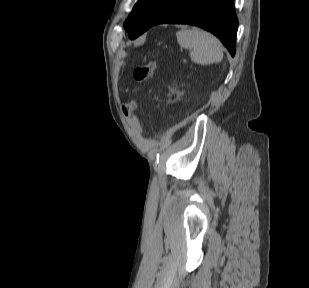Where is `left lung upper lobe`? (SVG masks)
<instances>
[{"label": "left lung upper lobe", "instance_id": "1", "mask_svg": "<svg viewBox=\"0 0 309 288\" xmlns=\"http://www.w3.org/2000/svg\"><path fill=\"white\" fill-rule=\"evenodd\" d=\"M161 0H138L124 23L129 37L137 33Z\"/></svg>", "mask_w": 309, "mask_h": 288}]
</instances>
